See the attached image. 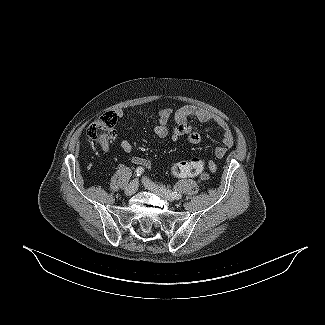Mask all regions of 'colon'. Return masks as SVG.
<instances>
[{
  "label": "colon",
  "instance_id": "5ec220e1",
  "mask_svg": "<svg viewBox=\"0 0 325 325\" xmlns=\"http://www.w3.org/2000/svg\"><path fill=\"white\" fill-rule=\"evenodd\" d=\"M116 115L104 113L87 129V142L107 146L115 138ZM204 162L200 159L180 161L171 166V173L175 177H190L199 174L204 169Z\"/></svg>",
  "mask_w": 325,
  "mask_h": 325
}]
</instances>
